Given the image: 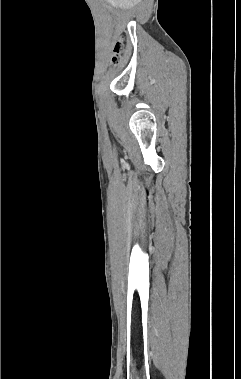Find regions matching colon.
I'll return each instance as SVG.
<instances>
[{"mask_svg": "<svg viewBox=\"0 0 241 379\" xmlns=\"http://www.w3.org/2000/svg\"><path fill=\"white\" fill-rule=\"evenodd\" d=\"M123 61V41L119 40L115 43L111 58L112 66H119Z\"/></svg>", "mask_w": 241, "mask_h": 379, "instance_id": "colon-1", "label": "colon"}]
</instances>
